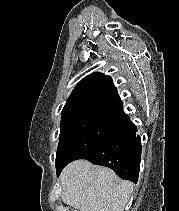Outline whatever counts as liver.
Here are the masks:
<instances>
[{
	"mask_svg": "<svg viewBox=\"0 0 179 211\" xmlns=\"http://www.w3.org/2000/svg\"><path fill=\"white\" fill-rule=\"evenodd\" d=\"M62 200L78 211H124L133 183L87 160L68 164L60 175Z\"/></svg>",
	"mask_w": 179,
	"mask_h": 211,
	"instance_id": "obj_1",
	"label": "liver"
}]
</instances>
